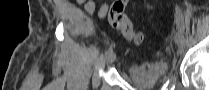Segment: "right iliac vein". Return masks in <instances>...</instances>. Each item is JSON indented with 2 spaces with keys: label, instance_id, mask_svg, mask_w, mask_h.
Here are the masks:
<instances>
[{
  "label": "right iliac vein",
  "instance_id": "obj_1",
  "mask_svg": "<svg viewBox=\"0 0 209 90\" xmlns=\"http://www.w3.org/2000/svg\"><path fill=\"white\" fill-rule=\"evenodd\" d=\"M116 59V54L114 52H112L108 57H107V62L108 63H112L114 62Z\"/></svg>",
  "mask_w": 209,
  "mask_h": 90
}]
</instances>
